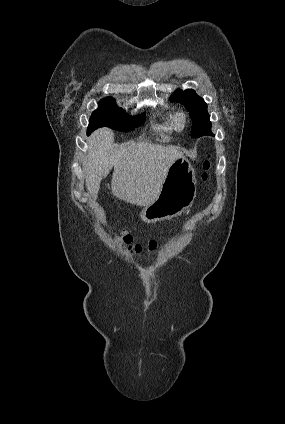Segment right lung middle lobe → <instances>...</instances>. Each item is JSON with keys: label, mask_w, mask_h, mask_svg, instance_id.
<instances>
[{"label": "right lung middle lobe", "mask_w": 285, "mask_h": 424, "mask_svg": "<svg viewBox=\"0 0 285 424\" xmlns=\"http://www.w3.org/2000/svg\"><path fill=\"white\" fill-rule=\"evenodd\" d=\"M145 121L144 115L137 117L128 116L125 111L116 106L112 97H107L99 102V108L95 110L89 120L88 134L100 127L127 132L139 127Z\"/></svg>", "instance_id": "1"}]
</instances>
